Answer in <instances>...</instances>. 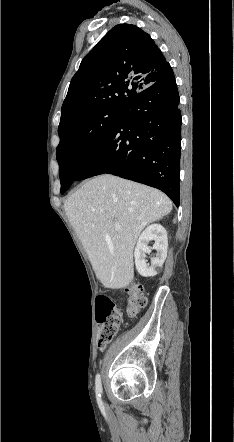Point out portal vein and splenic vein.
I'll return each mask as SVG.
<instances>
[{
    "mask_svg": "<svg viewBox=\"0 0 234 442\" xmlns=\"http://www.w3.org/2000/svg\"><path fill=\"white\" fill-rule=\"evenodd\" d=\"M114 226L117 230L121 228V225L119 223H115Z\"/></svg>",
    "mask_w": 234,
    "mask_h": 442,
    "instance_id": "18ae733b",
    "label": "portal vein and splenic vein"
}]
</instances>
